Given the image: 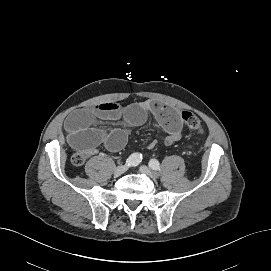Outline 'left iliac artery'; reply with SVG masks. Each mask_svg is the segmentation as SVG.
<instances>
[{
    "mask_svg": "<svg viewBox=\"0 0 271 271\" xmlns=\"http://www.w3.org/2000/svg\"><path fill=\"white\" fill-rule=\"evenodd\" d=\"M149 166H150L151 169H153L155 171L160 170V163L156 159L150 160Z\"/></svg>",
    "mask_w": 271,
    "mask_h": 271,
    "instance_id": "left-iliac-artery-1",
    "label": "left iliac artery"
}]
</instances>
